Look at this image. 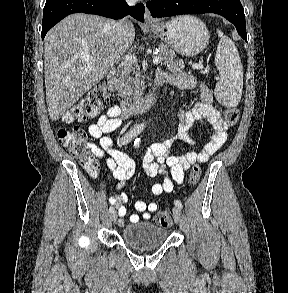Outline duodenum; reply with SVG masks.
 <instances>
[{
  "instance_id": "1",
  "label": "duodenum",
  "mask_w": 288,
  "mask_h": 293,
  "mask_svg": "<svg viewBox=\"0 0 288 293\" xmlns=\"http://www.w3.org/2000/svg\"><path fill=\"white\" fill-rule=\"evenodd\" d=\"M165 80L161 76H156L154 87L147 94L130 99V100H121L120 108L125 115L131 113H140L149 109L152 105H154L158 99L159 91L164 85ZM107 86L111 92H115L117 90V79L116 72L114 69L110 70L107 75Z\"/></svg>"
}]
</instances>
